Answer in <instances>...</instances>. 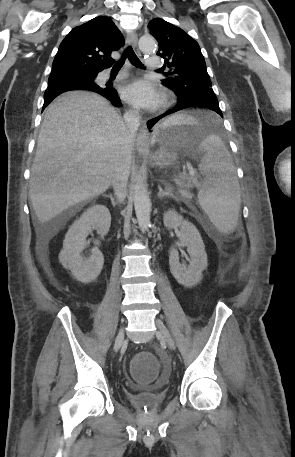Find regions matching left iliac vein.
<instances>
[{
	"label": "left iliac vein",
	"mask_w": 295,
	"mask_h": 457,
	"mask_svg": "<svg viewBox=\"0 0 295 457\" xmlns=\"http://www.w3.org/2000/svg\"><path fill=\"white\" fill-rule=\"evenodd\" d=\"M155 323L157 326L158 333L161 335L162 339L167 343V345L172 350H175L176 346H175L174 339L171 336V334H170L169 330L167 329V327L165 326V324L159 319H156Z\"/></svg>",
	"instance_id": "1"
}]
</instances>
